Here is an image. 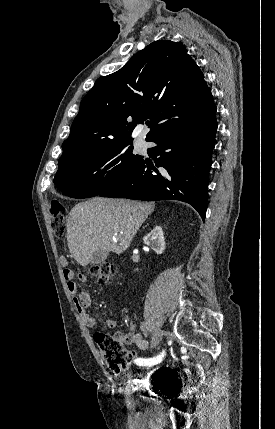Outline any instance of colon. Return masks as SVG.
I'll return each instance as SVG.
<instances>
[{
	"label": "colon",
	"instance_id": "5ec220e1",
	"mask_svg": "<svg viewBox=\"0 0 275 429\" xmlns=\"http://www.w3.org/2000/svg\"><path fill=\"white\" fill-rule=\"evenodd\" d=\"M49 209L53 234L56 237H62L66 231V208L60 201L53 200L50 202ZM60 263L66 265L67 260L64 256L60 257ZM88 273L100 283H108L114 277L116 267L111 263H101L91 266ZM94 340L100 349L105 365L110 371L119 373L131 364L133 355L124 347V341L121 337L96 333Z\"/></svg>",
	"mask_w": 275,
	"mask_h": 429
}]
</instances>
